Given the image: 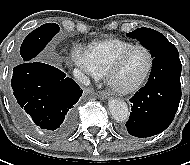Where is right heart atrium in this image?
<instances>
[{
    "mask_svg": "<svg viewBox=\"0 0 190 165\" xmlns=\"http://www.w3.org/2000/svg\"><path fill=\"white\" fill-rule=\"evenodd\" d=\"M72 58L75 66L78 67L86 75L94 79H98L100 77L94 70L86 50L77 47L73 51Z\"/></svg>",
    "mask_w": 190,
    "mask_h": 165,
    "instance_id": "obj_1",
    "label": "right heart atrium"
}]
</instances>
